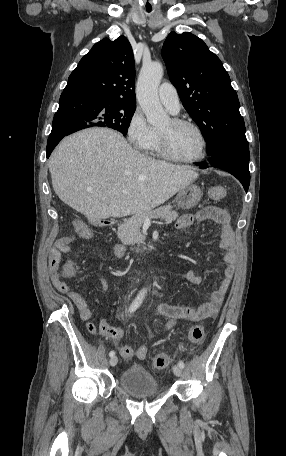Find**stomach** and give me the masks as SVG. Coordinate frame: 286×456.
Segmentation results:
<instances>
[{"label": "stomach", "instance_id": "stomach-1", "mask_svg": "<svg viewBox=\"0 0 286 456\" xmlns=\"http://www.w3.org/2000/svg\"><path fill=\"white\" fill-rule=\"evenodd\" d=\"M202 190L194 184H190L181 189L176 196V204L182 209L195 207L202 197Z\"/></svg>", "mask_w": 286, "mask_h": 456}]
</instances>
